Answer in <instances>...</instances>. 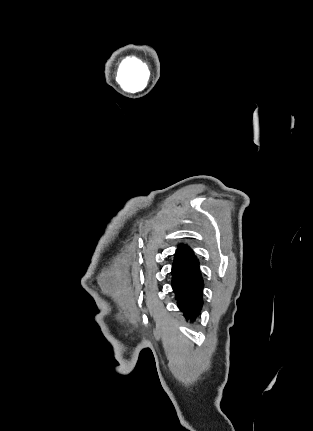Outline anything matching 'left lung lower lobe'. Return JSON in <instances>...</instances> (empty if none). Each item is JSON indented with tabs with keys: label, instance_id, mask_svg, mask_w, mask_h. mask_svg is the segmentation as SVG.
Instances as JSON below:
<instances>
[{
	"label": "left lung lower lobe",
	"instance_id": "0a47b994",
	"mask_svg": "<svg viewBox=\"0 0 313 431\" xmlns=\"http://www.w3.org/2000/svg\"><path fill=\"white\" fill-rule=\"evenodd\" d=\"M203 279L199 262L192 250L179 245L172 266V288L177 298V306L186 320L192 322L200 314L203 306Z\"/></svg>",
	"mask_w": 313,
	"mask_h": 431
}]
</instances>
